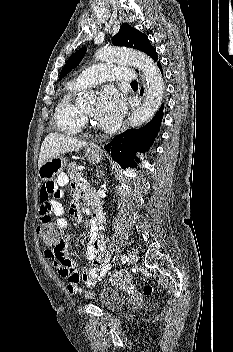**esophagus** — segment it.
Masks as SVG:
<instances>
[{"mask_svg":"<svg viewBox=\"0 0 233 352\" xmlns=\"http://www.w3.org/2000/svg\"><path fill=\"white\" fill-rule=\"evenodd\" d=\"M142 83H144V79H142ZM133 110L134 109H132L131 112L128 114L126 120L123 123V126H122L120 132H123L127 128V125H128V122H129V119H130V116H131V113L133 112Z\"/></svg>","mask_w":233,"mask_h":352,"instance_id":"34e87169","label":"esophagus"}]
</instances>
